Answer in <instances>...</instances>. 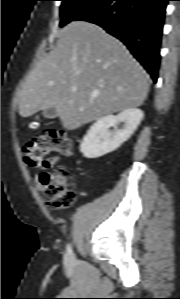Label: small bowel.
Returning a JSON list of instances; mask_svg holds the SVG:
<instances>
[{
  "label": "small bowel",
  "mask_w": 180,
  "mask_h": 299,
  "mask_svg": "<svg viewBox=\"0 0 180 299\" xmlns=\"http://www.w3.org/2000/svg\"><path fill=\"white\" fill-rule=\"evenodd\" d=\"M58 161H59V157H57V156L51 157L43 163L42 169H48V168L52 167L53 165H55ZM37 186L39 188L41 187L40 180L37 182Z\"/></svg>",
  "instance_id": "small-bowel-1"
}]
</instances>
